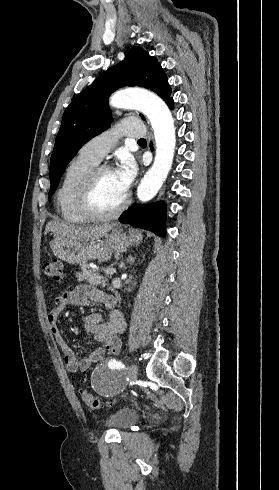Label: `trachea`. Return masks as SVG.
Here are the masks:
<instances>
[{
	"mask_svg": "<svg viewBox=\"0 0 279 490\" xmlns=\"http://www.w3.org/2000/svg\"><path fill=\"white\" fill-rule=\"evenodd\" d=\"M138 143H146V140L144 138H140V140H138Z\"/></svg>",
	"mask_w": 279,
	"mask_h": 490,
	"instance_id": "3493384b",
	"label": "trachea"
}]
</instances>
